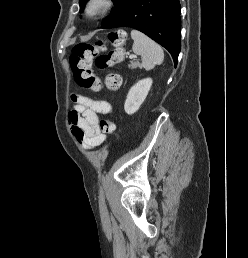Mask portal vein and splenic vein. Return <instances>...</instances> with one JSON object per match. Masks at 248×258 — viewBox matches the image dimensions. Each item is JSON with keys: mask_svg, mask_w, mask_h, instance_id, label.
Instances as JSON below:
<instances>
[{"mask_svg": "<svg viewBox=\"0 0 248 258\" xmlns=\"http://www.w3.org/2000/svg\"><path fill=\"white\" fill-rule=\"evenodd\" d=\"M129 58H130V59H134V58H136V56L130 55Z\"/></svg>", "mask_w": 248, "mask_h": 258, "instance_id": "obj_1", "label": "portal vein and splenic vein"}]
</instances>
